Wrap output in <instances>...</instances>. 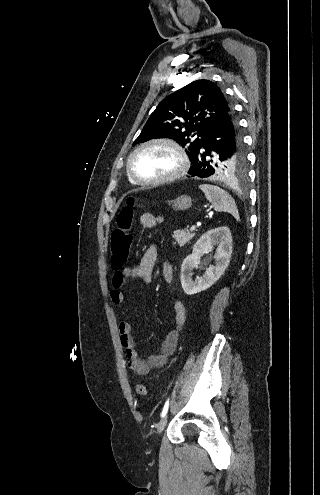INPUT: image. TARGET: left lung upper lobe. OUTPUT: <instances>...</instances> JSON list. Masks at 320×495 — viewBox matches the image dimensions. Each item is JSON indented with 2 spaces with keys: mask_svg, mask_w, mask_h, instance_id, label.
<instances>
[{
  "mask_svg": "<svg viewBox=\"0 0 320 495\" xmlns=\"http://www.w3.org/2000/svg\"><path fill=\"white\" fill-rule=\"evenodd\" d=\"M232 110L221 89L209 80H196L159 103L133 145L153 138H171L183 146L191 158L201 147L218 120ZM198 137L192 139L190 137ZM213 175L229 177L246 168L241 135L238 148L214 149L207 156Z\"/></svg>",
  "mask_w": 320,
  "mask_h": 495,
  "instance_id": "left-lung-upper-lobe-1",
  "label": "left lung upper lobe"
}]
</instances>
